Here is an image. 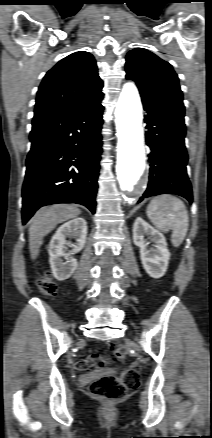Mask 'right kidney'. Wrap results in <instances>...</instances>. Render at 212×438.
I'll list each match as a JSON object with an SVG mask.
<instances>
[{"label":"right kidney","mask_w":212,"mask_h":438,"mask_svg":"<svg viewBox=\"0 0 212 438\" xmlns=\"http://www.w3.org/2000/svg\"><path fill=\"white\" fill-rule=\"evenodd\" d=\"M87 236V222L83 218L72 219L61 225L54 236L52 237L48 253L50 255V266L52 273L57 280L63 281L68 279L77 268V260L65 254V245L68 243L66 238H75L76 243L71 244L72 251L69 254H74L81 251L85 245ZM64 258L66 261L62 260Z\"/></svg>","instance_id":"ca27d5eb"}]
</instances>
